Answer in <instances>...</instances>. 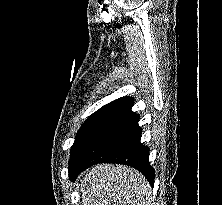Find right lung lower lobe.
Instances as JSON below:
<instances>
[{"mask_svg":"<svg viewBox=\"0 0 222 205\" xmlns=\"http://www.w3.org/2000/svg\"><path fill=\"white\" fill-rule=\"evenodd\" d=\"M133 103V98L126 99L93 129L69 166L71 181L92 165L117 163L139 170L154 184L155 171L149 163V148L140 142L142 129L139 115L131 111Z\"/></svg>","mask_w":222,"mask_h":205,"instance_id":"1","label":"right lung lower lobe"}]
</instances>
